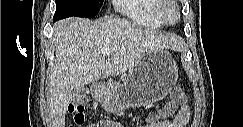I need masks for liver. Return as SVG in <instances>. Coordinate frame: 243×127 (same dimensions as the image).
<instances>
[{"mask_svg":"<svg viewBox=\"0 0 243 127\" xmlns=\"http://www.w3.org/2000/svg\"><path fill=\"white\" fill-rule=\"evenodd\" d=\"M56 60L49 74L47 104L52 127H65L72 92L133 68L146 54L160 49L180 50L176 35L143 29L122 18L90 22L67 18L54 24ZM108 49L110 55L102 54Z\"/></svg>","mask_w":243,"mask_h":127,"instance_id":"1","label":"liver"}]
</instances>
